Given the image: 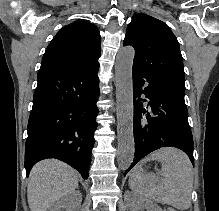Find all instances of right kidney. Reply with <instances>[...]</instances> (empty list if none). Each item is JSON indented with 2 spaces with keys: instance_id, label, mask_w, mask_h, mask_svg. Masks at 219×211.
Instances as JSON below:
<instances>
[{
  "instance_id": "obj_1",
  "label": "right kidney",
  "mask_w": 219,
  "mask_h": 211,
  "mask_svg": "<svg viewBox=\"0 0 219 211\" xmlns=\"http://www.w3.org/2000/svg\"><path fill=\"white\" fill-rule=\"evenodd\" d=\"M73 193H76V191H73ZM78 197L75 199V203H79V201H82L81 193H77ZM70 203H73L72 195H68ZM65 205H67V199L65 197H59L55 203H52L49 207V211H62V209H65Z\"/></svg>"
}]
</instances>
